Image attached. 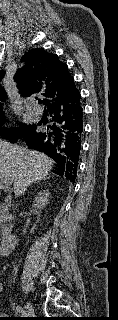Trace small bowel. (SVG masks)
<instances>
[{
	"label": "small bowel",
	"mask_w": 118,
	"mask_h": 320,
	"mask_svg": "<svg viewBox=\"0 0 118 320\" xmlns=\"http://www.w3.org/2000/svg\"><path fill=\"white\" fill-rule=\"evenodd\" d=\"M3 291V284L2 282L0 281V293Z\"/></svg>",
	"instance_id": "c3829d8e"
}]
</instances>
